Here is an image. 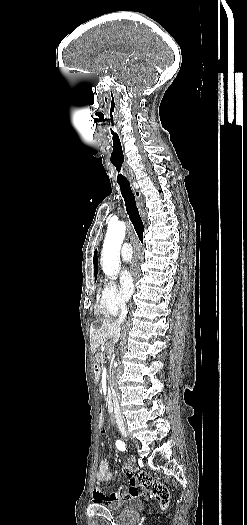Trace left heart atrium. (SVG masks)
<instances>
[{
	"instance_id": "obj_1",
	"label": "left heart atrium",
	"mask_w": 247,
	"mask_h": 525,
	"mask_svg": "<svg viewBox=\"0 0 247 525\" xmlns=\"http://www.w3.org/2000/svg\"><path fill=\"white\" fill-rule=\"evenodd\" d=\"M143 268V252L139 249H136L134 257L130 262L129 266L123 269L121 273V281L126 294H130L133 291L134 282L141 277Z\"/></svg>"
}]
</instances>
